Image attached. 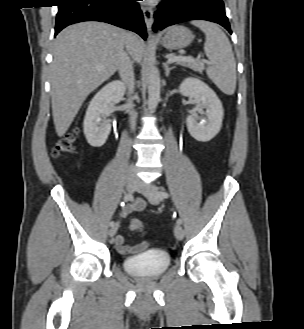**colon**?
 Instances as JSON below:
<instances>
[{
  "instance_id": "obj_1",
  "label": "colon",
  "mask_w": 304,
  "mask_h": 329,
  "mask_svg": "<svg viewBox=\"0 0 304 329\" xmlns=\"http://www.w3.org/2000/svg\"><path fill=\"white\" fill-rule=\"evenodd\" d=\"M76 139L77 133L75 131L67 133L57 142L56 146L54 147L52 151L53 157L60 158L74 153ZM129 228L133 232L140 233L143 231L144 226L140 220L133 219L129 223Z\"/></svg>"
}]
</instances>
